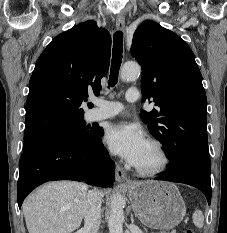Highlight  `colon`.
I'll list each match as a JSON object with an SVG mask.
<instances>
[{"label":"colon","instance_id":"colon-1","mask_svg":"<svg viewBox=\"0 0 227 233\" xmlns=\"http://www.w3.org/2000/svg\"><path fill=\"white\" fill-rule=\"evenodd\" d=\"M181 233H195L192 229H185Z\"/></svg>","mask_w":227,"mask_h":233}]
</instances>
